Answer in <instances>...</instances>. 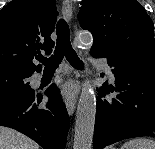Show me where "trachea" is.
Wrapping results in <instances>:
<instances>
[{
    "instance_id": "trachea-1",
    "label": "trachea",
    "mask_w": 155,
    "mask_h": 149,
    "mask_svg": "<svg viewBox=\"0 0 155 149\" xmlns=\"http://www.w3.org/2000/svg\"><path fill=\"white\" fill-rule=\"evenodd\" d=\"M57 43L54 54L50 58L40 57L38 60L45 66V70H56L64 56L75 68H83V62L73 50L70 42L69 26L64 19L56 25Z\"/></svg>"
}]
</instances>
